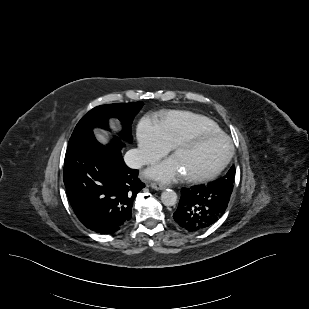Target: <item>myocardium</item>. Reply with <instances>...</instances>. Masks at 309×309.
I'll list each match as a JSON object with an SVG mask.
<instances>
[{
  "mask_svg": "<svg viewBox=\"0 0 309 309\" xmlns=\"http://www.w3.org/2000/svg\"><path fill=\"white\" fill-rule=\"evenodd\" d=\"M207 137H217L222 138L227 143V153L223 160L220 162V164L212 171L205 173V174H199V175H187L186 180L192 183H203L210 181L217 177L229 164L233 153H234V146L231 138L221 132H214V131H207V130H198L194 131L191 134L187 135L186 137L180 139L177 143L174 144L173 152L176 153L179 149L191 145L200 139L207 138Z\"/></svg>",
  "mask_w": 309,
  "mask_h": 309,
  "instance_id": "f54148a6",
  "label": "myocardium"
}]
</instances>
